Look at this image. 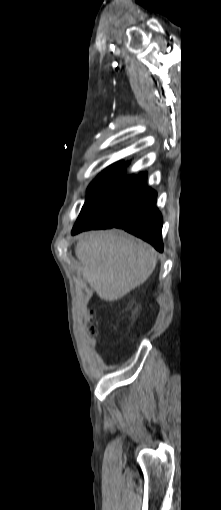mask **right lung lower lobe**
Returning <instances> with one entry per match:
<instances>
[{"label": "right lung lower lobe", "mask_w": 221, "mask_h": 510, "mask_svg": "<svg viewBox=\"0 0 221 510\" xmlns=\"http://www.w3.org/2000/svg\"><path fill=\"white\" fill-rule=\"evenodd\" d=\"M146 174L138 175L130 196L119 216L103 218L84 204L72 234L84 230L122 228L163 251L162 216L155 206L157 194L145 184Z\"/></svg>", "instance_id": "obj_1"}]
</instances>
